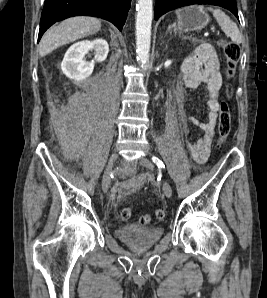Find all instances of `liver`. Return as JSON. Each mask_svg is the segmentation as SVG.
<instances>
[{"mask_svg": "<svg viewBox=\"0 0 267 298\" xmlns=\"http://www.w3.org/2000/svg\"><path fill=\"white\" fill-rule=\"evenodd\" d=\"M101 29V21L93 17H73L59 25L48 29L39 44L41 57L51 53L62 45L97 33Z\"/></svg>", "mask_w": 267, "mask_h": 298, "instance_id": "obj_1", "label": "liver"}]
</instances>
